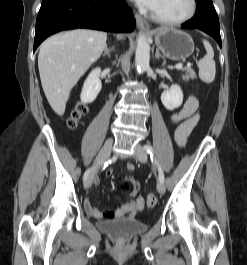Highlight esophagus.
<instances>
[{
    "label": "esophagus",
    "instance_id": "esophagus-1",
    "mask_svg": "<svg viewBox=\"0 0 247 265\" xmlns=\"http://www.w3.org/2000/svg\"><path fill=\"white\" fill-rule=\"evenodd\" d=\"M135 18H136L137 27L142 31L148 32L149 31L148 22L139 14H135Z\"/></svg>",
    "mask_w": 247,
    "mask_h": 265
}]
</instances>
